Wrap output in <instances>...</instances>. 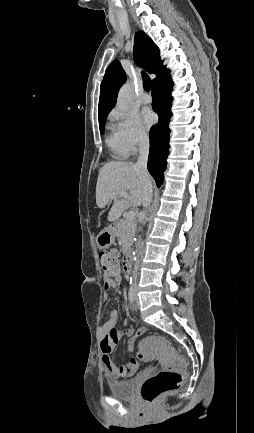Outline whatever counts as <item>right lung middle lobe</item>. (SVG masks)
Masks as SVG:
<instances>
[{
	"label": "right lung middle lobe",
	"mask_w": 254,
	"mask_h": 433,
	"mask_svg": "<svg viewBox=\"0 0 254 433\" xmlns=\"http://www.w3.org/2000/svg\"><path fill=\"white\" fill-rule=\"evenodd\" d=\"M99 128H100V133L103 134L104 132V126H105V120L102 122H99Z\"/></svg>",
	"instance_id": "dd1d6c3e"
}]
</instances>
